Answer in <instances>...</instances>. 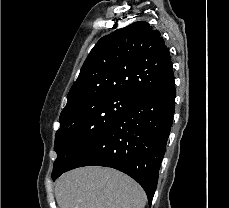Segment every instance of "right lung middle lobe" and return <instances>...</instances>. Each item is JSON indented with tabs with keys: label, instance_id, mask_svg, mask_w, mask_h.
Here are the masks:
<instances>
[{
	"label": "right lung middle lobe",
	"instance_id": "1",
	"mask_svg": "<svg viewBox=\"0 0 229 208\" xmlns=\"http://www.w3.org/2000/svg\"><path fill=\"white\" fill-rule=\"evenodd\" d=\"M123 95L101 96L70 109L60 117V129L55 134L52 178L59 177L79 151L93 138L111 126L135 103Z\"/></svg>",
	"mask_w": 229,
	"mask_h": 208
}]
</instances>
